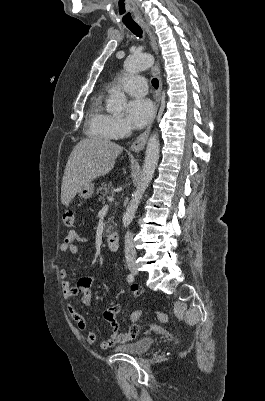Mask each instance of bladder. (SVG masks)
I'll list each match as a JSON object with an SVG mask.
<instances>
[{"label":"bladder","instance_id":"bladder-1","mask_svg":"<svg viewBox=\"0 0 265 401\" xmlns=\"http://www.w3.org/2000/svg\"><path fill=\"white\" fill-rule=\"evenodd\" d=\"M153 341L150 338H140L131 344L116 347L115 350H119L125 353L139 354L148 351Z\"/></svg>","mask_w":265,"mask_h":401}]
</instances>
